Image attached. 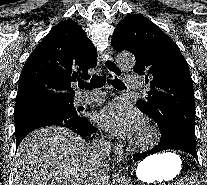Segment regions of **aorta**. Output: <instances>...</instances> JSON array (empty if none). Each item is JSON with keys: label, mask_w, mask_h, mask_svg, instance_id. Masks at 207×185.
Returning <instances> with one entry per match:
<instances>
[{"label": "aorta", "mask_w": 207, "mask_h": 185, "mask_svg": "<svg viewBox=\"0 0 207 185\" xmlns=\"http://www.w3.org/2000/svg\"><path fill=\"white\" fill-rule=\"evenodd\" d=\"M117 62L121 69H132L135 65V58L131 53H121L117 56ZM128 167L126 158L120 157L117 161V167L113 174L112 185H128Z\"/></svg>", "instance_id": "1"}]
</instances>
